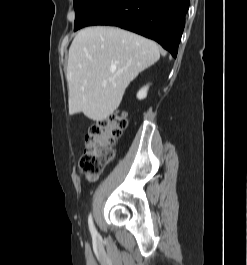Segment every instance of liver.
Here are the masks:
<instances>
[{"instance_id":"obj_1","label":"liver","mask_w":247,"mask_h":265,"mask_svg":"<svg viewBox=\"0 0 247 265\" xmlns=\"http://www.w3.org/2000/svg\"><path fill=\"white\" fill-rule=\"evenodd\" d=\"M159 58L155 42L129 31L106 26L80 30L69 48L70 113L105 120L119 107L130 82Z\"/></svg>"}]
</instances>
